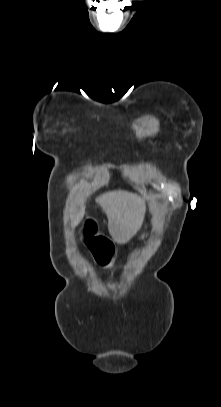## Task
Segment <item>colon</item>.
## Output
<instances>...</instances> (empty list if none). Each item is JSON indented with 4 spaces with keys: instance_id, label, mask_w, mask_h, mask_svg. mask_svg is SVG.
<instances>
[{
    "instance_id": "obj_1",
    "label": "colon",
    "mask_w": 221,
    "mask_h": 407,
    "mask_svg": "<svg viewBox=\"0 0 221 407\" xmlns=\"http://www.w3.org/2000/svg\"><path fill=\"white\" fill-rule=\"evenodd\" d=\"M85 222L87 224L85 231L87 234H94L96 231V228L94 226L96 219L94 216H87L85 219ZM84 230H77L75 233V236L77 239H84L86 236ZM95 250H96V257L97 261L102 264L106 265L113 254V247L112 244L104 238H100L97 240L95 244Z\"/></svg>"
}]
</instances>
